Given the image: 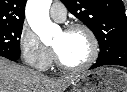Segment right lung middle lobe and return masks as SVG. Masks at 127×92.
Here are the masks:
<instances>
[{
	"label": "right lung middle lobe",
	"instance_id": "1",
	"mask_svg": "<svg viewBox=\"0 0 127 92\" xmlns=\"http://www.w3.org/2000/svg\"><path fill=\"white\" fill-rule=\"evenodd\" d=\"M23 25H0V51L20 55Z\"/></svg>",
	"mask_w": 127,
	"mask_h": 92
}]
</instances>
